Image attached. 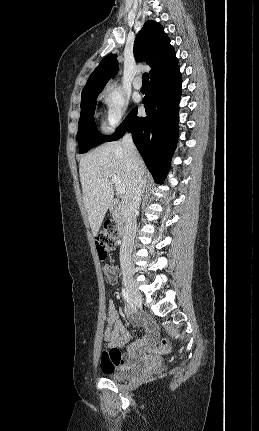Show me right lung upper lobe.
I'll return each mask as SVG.
<instances>
[{
    "label": "right lung upper lobe",
    "mask_w": 259,
    "mask_h": 431,
    "mask_svg": "<svg viewBox=\"0 0 259 431\" xmlns=\"http://www.w3.org/2000/svg\"><path fill=\"white\" fill-rule=\"evenodd\" d=\"M134 54L138 61L146 62L151 70L150 80L159 76L178 63L170 39L163 27L155 21H147L138 33ZM118 71L116 56L109 54L90 75L82 91V97L93 92H101L111 77Z\"/></svg>",
    "instance_id": "cb5924a9"
}]
</instances>
